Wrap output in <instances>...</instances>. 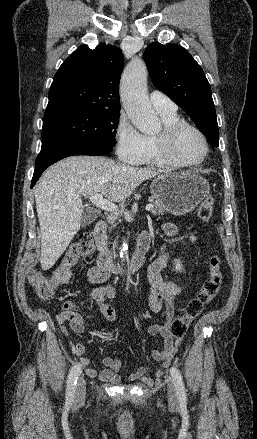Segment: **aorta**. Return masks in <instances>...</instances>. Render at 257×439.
I'll return each mask as SVG.
<instances>
[{
    "label": "aorta",
    "instance_id": "aorta-1",
    "mask_svg": "<svg viewBox=\"0 0 257 439\" xmlns=\"http://www.w3.org/2000/svg\"><path fill=\"white\" fill-rule=\"evenodd\" d=\"M120 96L128 117L141 133H153L159 129V118L148 99L147 69L140 59L132 60L124 72ZM127 255L128 244L124 240L120 250L121 261L124 262Z\"/></svg>",
    "mask_w": 257,
    "mask_h": 439
}]
</instances>
